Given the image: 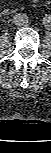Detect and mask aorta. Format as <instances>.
Segmentation results:
<instances>
[{"label":"aorta","instance_id":"aorta-1","mask_svg":"<svg viewBox=\"0 0 51 153\" xmlns=\"http://www.w3.org/2000/svg\"><path fill=\"white\" fill-rule=\"evenodd\" d=\"M43 28L46 30L51 29V18L50 17H45L43 19Z\"/></svg>","mask_w":51,"mask_h":153}]
</instances>
